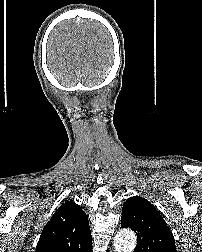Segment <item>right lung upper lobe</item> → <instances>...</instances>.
Returning a JSON list of instances; mask_svg holds the SVG:
<instances>
[{
  "label": "right lung upper lobe",
  "instance_id": "obj_1",
  "mask_svg": "<svg viewBox=\"0 0 202 252\" xmlns=\"http://www.w3.org/2000/svg\"><path fill=\"white\" fill-rule=\"evenodd\" d=\"M86 213L73 200L63 203L44 227L35 252H91Z\"/></svg>",
  "mask_w": 202,
  "mask_h": 252
}]
</instances>
